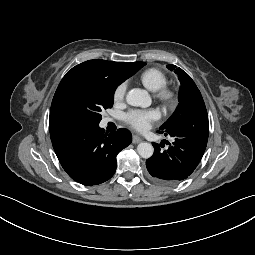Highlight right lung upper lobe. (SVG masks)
<instances>
[{"mask_svg":"<svg viewBox=\"0 0 255 255\" xmlns=\"http://www.w3.org/2000/svg\"><path fill=\"white\" fill-rule=\"evenodd\" d=\"M142 65L143 62H113L95 59L76 65L68 73L103 75L106 78L121 84L124 80L138 71Z\"/></svg>","mask_w":255,"mask_h":255,"instance_id":"right-lung-upper-lobe-1","label":"right lung upper lobe"}]
</instances>
